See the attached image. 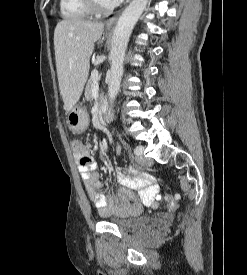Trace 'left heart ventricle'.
<instances>
[{"instance_id":"1","label":"left heart ventricle","mask_w":247,"mask_h":275,"mask_svg":"<svg viewBox=\"0 0 247 275\" xmlns=\"http://www.w3.org/2000/svg\"><path fill=\"white\" fill-rule=\"evenodd\" d=\"M97 1L103 7H110V6H112L111 0H97Z\"/></svg>"}]
</instances>
